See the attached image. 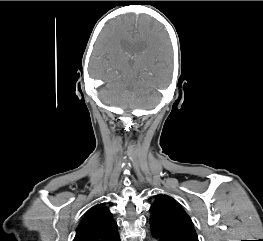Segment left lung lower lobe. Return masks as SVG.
<instances>
[{
  "label": "left lung lower lobe",
  "instance_id": "1",
  "mask_svg": "<svg viewBox=\"0 0 263 241\" xmlns=\"http://www.w3.org/2000/svg\"><path fill=\"white\" fill-rule=\"evenodd\" d=\"M151 233L159 241H186L183 237L167 230L159 224L150 222Z\"/></svg>",
  "mask_w": 263,
  "mask_h": 241
}]
</instances>
